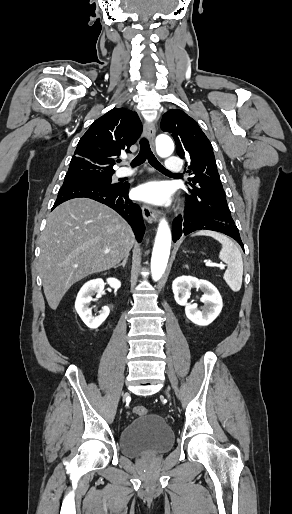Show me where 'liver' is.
<instances>
[{"label": "liver", "instance_id": "1", "mask_svg": "<svg viewBox=\"0 0 292 514\" xmlns=\"http://www.w3.org/2000/svg\"><path fill=\"white\" fill-rule=\"evenodd\" d=\"M134 242L127 222L95 200L75 198L55 208L41 234L39 256L43 290L51 310H57L75 282L115 268L129 256Z\"/></svg>", "mask_w": 292, "mask_h": 514}]
</instances>
